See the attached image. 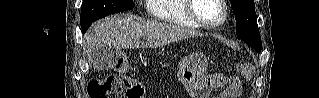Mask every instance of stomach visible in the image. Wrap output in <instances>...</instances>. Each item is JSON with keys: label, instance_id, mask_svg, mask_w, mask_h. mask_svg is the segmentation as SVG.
I'll return each instance as SVG.
<instances>
[{"label": "stomach", "instance_id": "0dacf381", "mask_svg": "<svg viewBox=\"0 0 319 98\" xmlns=\"http://www.w3.org/2000/svg\"><path fill=\"white\" fill-rule=\"evenodd\" d=\"M206 59L202 54H195L191 61L180 69L179 79L192 98H204L203 76L206 72Z\"/></svg>", "mask_w": 319, "mask_h": 98}]
</instances>
